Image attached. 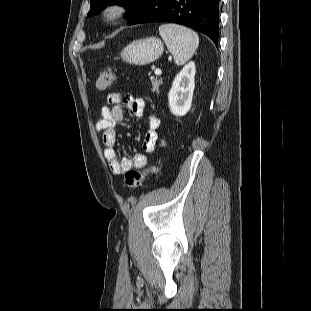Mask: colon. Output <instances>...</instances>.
Wrapping results in <instances>:
<instances>
[{"mask_svg":"<svg viewBox=\"0 0 311 311\" xmlns=\"http://www.w3.org/2000/svg\"><path fill=\"white\" fill-rule=\"evenodd\" d=\"M115 80L114 72L111 68H103L99 71L97 79V87L100 90L109 89ZM158 168L156 165L150 164L143 170L131 169L126 172L125 183L129 189H136L142 185L144 179L149 176L156 174Z\"/></svg>","mask_w":311,"mask_h":311,"instance_id":"colon-1","label":"colon"}]
</instances>
